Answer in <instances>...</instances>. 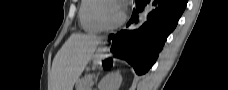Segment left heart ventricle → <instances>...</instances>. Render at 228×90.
I'll return each instance as SVG.
<instances>
[{"label":"left heart ventricle","instance_id":"1","mask_svg":"<svg viewBox=\"0 0 228 90\" xmlns=\"http://www.w3.org/2000/svg\"><path fill=\"white\" fill-rule=\"evenodd\" d=\"M122 10L115 3H105L100 11V15L106 24L115 23L121 16Z\"/></svg>","mask_w":228,"mask_h":90}]
</instances>
